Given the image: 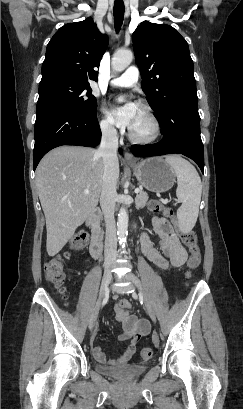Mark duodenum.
Returning <instances> with one entry per match:
<instances>
[{
  "instance_id": "1",
  "label": "duodenum",
  "mask_w": 243,
  "mask_h": 409,
  "mask_svg": "<svg viewBox=\"0 0 243 409\" xmlns=\"http://www.w3.org/2000/svg\"><path fill=\"white\" fill-rule=\"evenodd\" d=\"M101 218V212L98 209H93L90 213L87 222L91 226V241L89 246L90 254L93 257H100L103 249L102 234L99 227V220Z\"/></svg>"
}]
</instances>
